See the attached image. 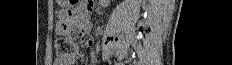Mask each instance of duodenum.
I'll list each match as a JSON object with an SVG mask.
<instances>
[{
	"instance_id": "obj_1",
	"label": "duodenum",
	"mask_w": 232,
	"mask_h": 65,
	"mask_svg": "<svg viewBox=\"0 0 232 65\" xmlns=\"http://www.w3.org/2000/svg\"><path fill=\"white\" fill-rule=\"evenodd\" d=\"M89 26V22L87 19L83 18L82 21H81V28L82 29H87Z\"/></svg>"
}]
</instances>
